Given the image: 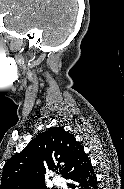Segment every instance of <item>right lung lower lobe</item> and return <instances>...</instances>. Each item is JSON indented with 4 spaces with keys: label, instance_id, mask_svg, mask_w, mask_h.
<instances>
[{
    "label": "right lung lower lobe",
    "instance_id": "right-lung-lower-lobe-1",
    "mask_svg": "<svg viewBox=\"0 0 124 189\" xmlns=\"http://www.w3.org/2000/svg\"><path fill=\"white\" fill-rule=\"evenodd\" d=\"M66 179L72 181L68 184L72 189H98L97 178L90 161L80 170L66 177Z\"/></svg>",
    "mask_w": 124,
    "mask_h": 189
}]
</instances>
